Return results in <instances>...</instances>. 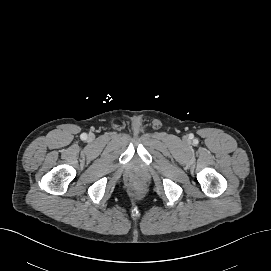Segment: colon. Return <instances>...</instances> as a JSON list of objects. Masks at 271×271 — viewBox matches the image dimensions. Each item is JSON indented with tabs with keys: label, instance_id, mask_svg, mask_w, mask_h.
Masks as SVG:
<instances>
[{
	"label": "colon",
	"instance_id": "1",
	"mask_svg": "<svg viewBox=\"0 0 271 271\" xmlns=\"http://www.w3.org/2000/svg\"><path fill=\"white\" fill-rule=\"evenodd\" d=\"M135 190L137 193L141 194L143 192V188L141 186H136Z\"/></svg>",
	"mask_w": 271,
	"mask_h": 271
}]
</instances>
